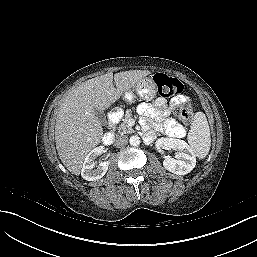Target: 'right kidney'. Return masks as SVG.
Here are the masks:
<instances>
[{"mask_svg":"<svg viewBox=\"0 0 257 257\" xmlns=\"http://www.w3.org/2000/svg\"><path fill=\"white\" fill-rule=\"evenodd\" d=\"M104 152V147L99 146L91 150L84 159L83 167L81 169V176L87 181H95L102 178L109 166V161H104L95 167V159Z\"/></svg>","mask_w":257,"mask_h":257,"instance_id":"obj_1","label":"right kidney"}]
</instances>
